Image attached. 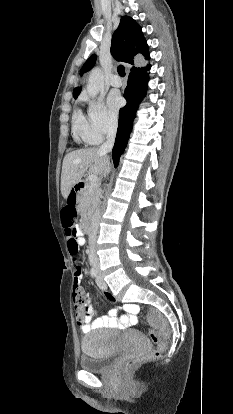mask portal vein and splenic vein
Instances as JSON below:
<instances>
[{"label":"portal vein and splenic vein","instance_id":"obj_1","mask_svg":"<svg viewBox=\"0 0 233 414\" xmlns=\"http://www.w3.org/2000/svg\"><path fill=\"white\" fill-rule=\"evenodd\" d=\"M75 163H79V161H76ZM88 179H89L90 183L96 184L97 181H98V176L97 175H94V174H90L88 176Z\"/></svg>","mask_w":233,"mask_h":414}]
</instances>
